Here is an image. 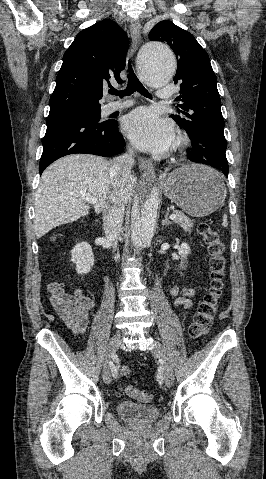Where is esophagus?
<instances>
[{
  "label": "esophagus",
  "instance_id": "1",
  "mask_svg": "<svg viewBox=\"0 0 266 479\" xmlns=\"http://www.w3.org/2000/svg\"><path fill=\"white\" fill-rule=\"evenodd\" d=\"M130 32H131V39H132L131 51L133 54L137 51L141 41V28H140V24L136 20L131 21ZM138 164L141 171H146L151 174L154 173V170H155L154 165L149 159L140 157Z\"/></svg>",
  "mask_w": 266,
  "mask_h": 479
}]
</instances>
